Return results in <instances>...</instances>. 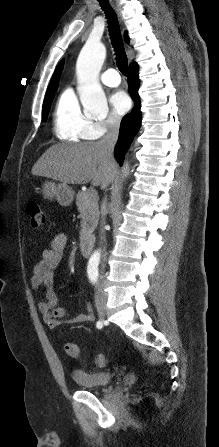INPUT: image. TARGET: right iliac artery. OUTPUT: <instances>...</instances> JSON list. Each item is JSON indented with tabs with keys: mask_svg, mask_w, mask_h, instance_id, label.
I'll use <instances>...</instances> for the list:
<instances>
[{
	"mask_svg": "<svg viewBox=\"0 0 219 447\" xmlns=\"http://www.w3.org/2000/svg\"><path fill=\"white\" fill-rule=\"evenodd\" d=\"M96 326H97L98 329H99V328H102V322H101V321H98L97 324H96Z\"/></svg>",
	"mask_w": 219,
	"mask_h": 447,
	"instance_id": "1",
	"label": "right iliac artery"
}]
</instances>
